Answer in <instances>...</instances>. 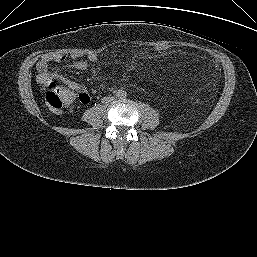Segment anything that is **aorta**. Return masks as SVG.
<instances>
[{
	"mask_svg": "<svg viewBox=\"0 0 257 257\" xmlns=\"http://www.w3.org/2000/svg\"><path fill=\"white\" fill-rule=\"evenodd\" d=\"M116 96H117L119 99H124V98H126V96H127V92L124 91V90H118L117 93H116Z\"/></svg>",
	"mask_w": 257,
	"mask_h": 257,
	"instance_id": "762f6f07",
	"label": "aorta"
}]
</instances>
